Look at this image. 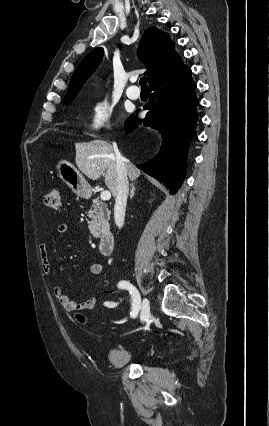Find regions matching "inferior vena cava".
<instances>
[{
    "instance_id": "inferior-vena-cava-1",
    "label": "inferior vena cava",
    "mask_w": 269,
    "mask_h": 426,
    "mask_svg": "<svg viewBox=\"0 0 269 426\" xmlns=\"http://www.w3.org/2000/svg\"><path fill=\"white\" fill-rule=\"evenodd\" d=\"M116 158L117 187L115 193L114 219L116 225L121 228L124 225L127 196L129 191L128 161L119 152L116 143H113Z\"/></svg>"
}]
</instances>
